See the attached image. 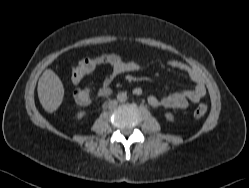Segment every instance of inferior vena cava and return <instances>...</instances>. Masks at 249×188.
<instances>
[{"instance_id":"obj_1","label":"inferior vena cava","mask_w":249,"mask_h":188,"mask_svg":"<svg viewBox=\"0 0 249 188\" xmlns=\"http://www.w3.org/2000/svg\"><path fill=\"white\" fill-rule=\"evenodd\" d=\"M116 105H117V101H116V100H110V101L108 102V108H109V109L114 108Z\"/></svg>"}]
</instances>
